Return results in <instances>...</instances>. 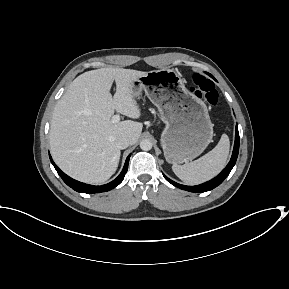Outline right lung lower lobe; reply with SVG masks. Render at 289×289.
Segmentation results:
<instances>
[{
    "instance_id": "1",
    "label": "right lung lower lobe",
    "mask_w": 289,
    "mask_h": 289,
    "mask_svg": "<svg viewBox=\"0 0 289 289\" xmlns=\"http://www.w3.org/2000/svg\"><path fill=\"white\" fill-rule=\"evenodd\" d=\"M50 160L53 164V166L55 167L57 173L60 175V177L63 179V181L72 189H74L77 192H81V193H100V192H106L109 191L113 188H115L117 185H119L123 179L124 176L128 170V163H129V158L130 155L127 157L125 165L123 167L122 172L120 173V175L113 180L112 182L102 185V186H93V185H88L79 181H76L74 179H72L71 177H69L68 175H66L65 173H63L58 167L57 165L53 162L51 156L49 155Z\"/></svg>"
}]
</instances>
